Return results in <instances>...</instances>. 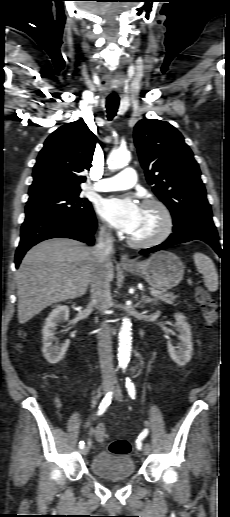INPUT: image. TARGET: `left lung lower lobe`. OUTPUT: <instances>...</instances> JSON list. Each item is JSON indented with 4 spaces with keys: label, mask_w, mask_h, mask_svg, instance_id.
<instances>
[{
    "label": "left lung lower lobe",
    "mask_w": 230,
    "mask_h": 517,
    "mask_svg": "<svg viewBox=\"0 0 230 517\" xmlns=\"http://www.w3.org/2000/svg\"><path fill=\"white\" fill-rule=\"evenodd\" d=\"M192 240H201L209 244L219 256H223V251L219 245V238L217 235L216 227L211 220L203 221L190 225L186 230L174 232L171 236L162 244L152 248L143 249L140 254H147L155 251L162 250L164 248L184 243Z\"/></svg>",
    "instance_id": "0a47b994"
}]
</instances>
